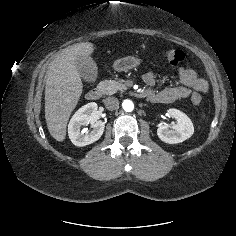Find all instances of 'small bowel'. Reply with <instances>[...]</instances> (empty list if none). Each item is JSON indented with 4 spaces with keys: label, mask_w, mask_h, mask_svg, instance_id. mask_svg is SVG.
Segmentation results:
<instances>
[{
    "label": "small bowel",
    "mask_w": 236,
    "mask_h": 236,
    "mask_svg": "<svg viewBox=\"0 0 236 236\" xmlns=\"http://www.w3.org/2000/svg\"><path fill=\"white\" fill-rule=\"evenodd\" d=\"M181 86H166L160 91L154 90L156 76L153 72H147L143 75L147 89L144 95L152 102L159 104H171L178 99L187 98L192 92L204 93L207 91V82L199 77L195 70L185 66L178 69Z\"/></svg>",
    "instance_id": "obj_1"
}]
</instances>
